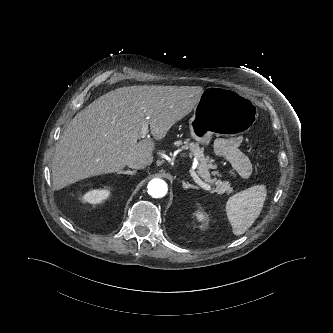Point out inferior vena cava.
Segmentation results:
<instances>
[{
  "label": "inferior vena cava",
  "instance_id": "602c4592",
  "mask_svg": "<svg viewBox=\"0 0 333 333\" xmlns=\"http://www.w3.org/2000/svg\"><path fill=\"white\" fill-rule=\"evenodd\" d=\"M128 167L132 169H143L146 167V162L140 159H134L128 162Z\"/></svg>",
  "mask_w": 333,
  "mask_h": 333
}]
</instances>
